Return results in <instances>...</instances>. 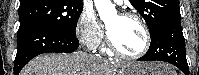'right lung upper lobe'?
I'll return each instance as SVG.
<instances>
[{"label":"right lung upper lobe","mask_w":199,"mask_h":75,"mask_svg":"<svg viewBox=\"0 0 199 75\" xmlns=\"http://www.w3.org/2000/svg\"><path fill=\"white\" fill-rule=\"evenodd\" d=\"M30 0H20V3H24V2H28ZM69 1H73V2H82V0H69Z\"/></svg>","instance_id":"right-lung-upper-lobe-1"}]
</instances>
